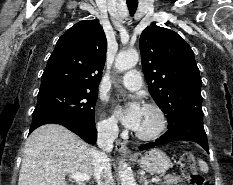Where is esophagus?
<instances>
[{
  "label": "esophagus",
  "instance_id": "1",
  "mask_svg": "<svg viewBox=\"0 0 233 185\" xmlns=\"http://www.w3.org/2000/svg\"><path fill=\"white\" fill-rule=\"evenodd\" d=\"M115 148L124 155H131V151L128 149L127 145L120 140L116 141Z\"/></svg>",
  "mask_w": 233,
  "mask_h": 185
}]
</instances>
